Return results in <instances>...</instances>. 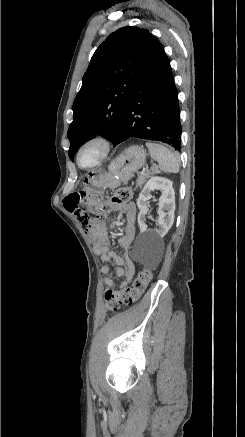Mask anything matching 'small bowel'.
Segmentation results:
<instances>
[{
  "label": "small bowel",
  "mask_w": 245,
  "mask_h": 437,
  "mask_svg": "<svg viewBox=\"0 0 245 437\" xmlns=\"http://www.w3.org/2000/svg\"><path fill=\"white\" fill-rule=\"evenodd\" d=\"M65 208L73 213L80 222L82 229H89L92 234V244L94 253L99 258L106 262L101 269L102 273L106 275L104 279V285L106 288H111L117 283L120 289L125 288L128 283L136 275V266L127 253L117 255L110 248V238L107 227L97 221L93 220L92 215L87 214L85 208L88 205L86 200V193L83 191H77L67 196L65 200ZM95 203L89 205L93 208ZM112 210L122 211L126 216V223L124 229V235L119 239V246L124 250H127L132 244L136 234V208L133 203H113ZM110 267L115 269V276L110 273Z\"/></svg>",
  "instance_id": "small-bowel-1"
}]
</instances>
